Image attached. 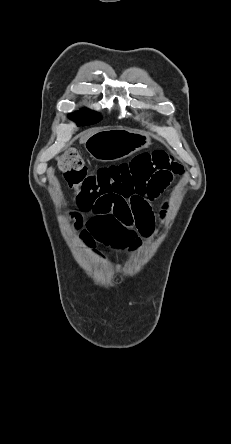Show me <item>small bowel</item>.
I'll list each match as a JSON object with an SVG mask.
<instances>
[{
	"label": "small bowel",
	"instance_id": "1",
	"mask_svg": "<svg viewBox=\"0 0 231 444\" xmlns=\"http://www.w3.org/2000/svg\"><path fill=\"white\" fill-rule=\"evenodd\" d=\"M156 197L164 188L162 183L152 184ZM78 211L74 221L82 238L91 247L104 244L115 249H134L142 237L150 236L155 228V216L146 199L132 210L126 200L105 197L99 199L78 198ZM83 213L90 214L87 219Z\"/></svg>",
	"mask_w": 231,
	"mask_h": 444
}]
</instances>
